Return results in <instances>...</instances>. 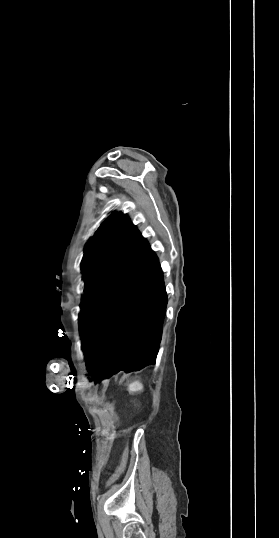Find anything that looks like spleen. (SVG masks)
Returning <instances> with one entry per match:
<instances>
[{"mask_svg":"<svg viewBox=\"0 0 279 538\" xmlns=\"http://www.w3.org/2000/svg\"><path fill=\"white\" fill-rule=\"evenodd\" d=\"M140 388H141V385H135V388H134V385H131L130 393H140V392H143V389H140Z\"/></svg>","mask_w":279,"mask_h":538,"instance_id":"3e777b00","label":"spleen"}]
</instances>
